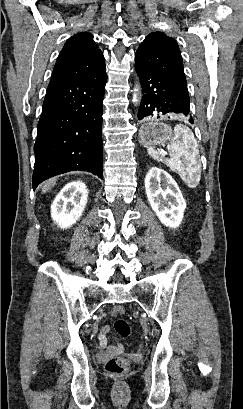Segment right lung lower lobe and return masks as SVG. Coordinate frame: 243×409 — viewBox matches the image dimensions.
I'll list each match as a JSON object with an SVG mask.
<instances>
[{
  "instance_id": "right-lung-lower-lobe-1",
  "label": "right lung lower lobe",
  "mask_w": 243,
  "mask_h": 409,
  "mask_svg": "<svg viewBox=\"0 0 243 409\" xmlns=\"http://www.w3.org/2000/svg\"><path fill=\"white\" fill-rule=\"evenodd\" d=\"M106 68L85 78L51 79L38 122L32 185L72 170L103 178Z\"/></svg>"
}]
</instances>
